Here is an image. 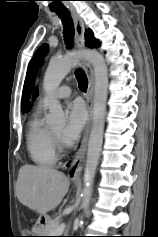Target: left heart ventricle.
<instances>
[{"instance_id":"obj_1","label":"left heart ventricle","mask_w":158,"mask_h":237,"mask_svg":"<svg viewBox=\"0 0 158 237\" xmlns=\"http://www.w3.org/2000/svg\"><path fill=\"white\" fill-rule=\"evenodd\" d=\"M53 132H54L57 136H59V135L61 134V132H62V129H55V130H53Z\"/></svg>"}]
</instances>
